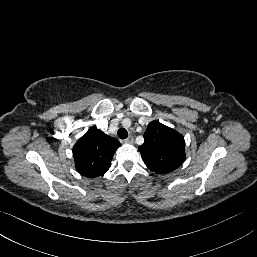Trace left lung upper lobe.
<instances>
[{"mask_svg":"<svg viewBox=\"0 0 257 257\" xmlns=\"http://www.w3.org/2000/svg\"><path fill=\"white\" fill-rule=\"evenodd\" d=\"M139 151L150 170L165 174L184 162L185 141L174 129L153 121L147 126L144 143L139 146Z\"/></svg>","mask_w":257,"mask_h":257,"instance_id":"left-lung-upper-lobe-1","label":"left lung upper lobe"}]
</instances>
